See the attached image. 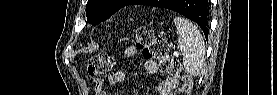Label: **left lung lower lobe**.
<instances>
[{"label": "left lung lower lobe", "mask_w": 277, "mask_h": 95, "mask_svg": "<svg viewBox=\"0 0 277 95\" xmlns=\"http://www.w3.org/2000/svg\"><path fill=\"white\" fill-rule=\"evenodd\" d=\"M160 2L161 0H134L131 4L157 7ZM166 8L177 11L195 21L203 30L205 37L208 38L209 6L207 0H177L173 6Z\"/></svg>", "instance_id": "1"}]
</instances>
